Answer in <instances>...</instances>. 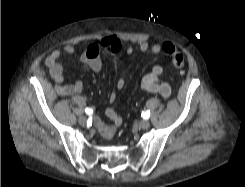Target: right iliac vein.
Returning a JSON list of instances; mask_svg holds the SVG:
<instances>
[{
	"label": "right iliac vein",
	"mask_w": 245,
	"mask_h": 187,
	"mask_svg": "<svg viewBox=\"0 0 245 187\" xmlns=\"http://www.w3.org/2000/svg\"><path fill=\"white\" fill-rule=\"evenodd\" d=\"M78 122L80 125L84 126L87 123V119H86V117L82 116L79 118Z\"/></svg>",
	"instance_id": "1"
}]
</instances>
